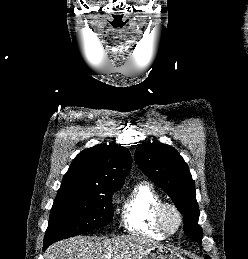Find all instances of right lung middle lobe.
<instances>
[{"mask_svg":"<svg viewBox=\"0 0 248 259\" xmlns=\"http://www.w3.org/2000/svg\"><path fill=\"white\" fill-rule=\"evenodd\" d=\"M119 188L67 187L58 190L44 241L51 243L108 225L112 195Z\"/></svg>","mask_w":248,"mask_h":259,"instance_id":"1","label":"right lung middle lobe"}]
</instances>
